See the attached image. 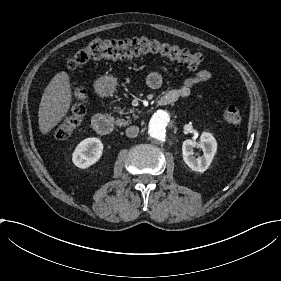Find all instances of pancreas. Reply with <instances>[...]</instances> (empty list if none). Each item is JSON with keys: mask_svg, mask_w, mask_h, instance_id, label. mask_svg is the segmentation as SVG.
Instances as JSON below:
<instances>
[{"mask_svg": "<svg viewBox=\"0 0 281 281\" xmlns=\"http://www.w3.org/2000/svg\"><path fill=\"white\" fill-rule=\"evenodd\" d=\"M129 113H134V109H130V110H129ZM120 114H124L123 110H120ZM134 118H137V116L134 115ZM127 119H128L127 121L121 120V124H122V125H127L128 123L131 122V120H129V117H127Z\"/></svg>", "mask_w": 281, "mask_h": 281, "instance_id": "pancreas-1", "label": "pancreas"}]
</instances>
